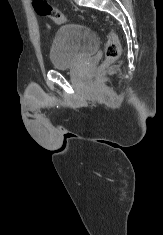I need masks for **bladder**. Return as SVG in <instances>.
Listing matches in <instances>:
<instances>
[{
    "label": "bladder",
    "mask_w": 163,
    "mask_h": 235,
    "mask_svg": "<svg viewBox=\"0 0 163 235\" xmlns=\"http://www.w3.org/2000/svg\"><path fill=\"white\" fill-rule=\"evenodd\" d=\"M98 46V37L89 27L79 23L64 25L57 30L51 43V65L54 69L75 67Z\"/></svg>",
    "instance_id": "31cf9c89"
}]
</instances>
